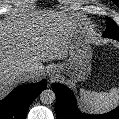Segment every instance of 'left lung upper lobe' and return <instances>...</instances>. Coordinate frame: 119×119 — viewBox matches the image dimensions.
<instances>
[{"label": "left lung upper lobe", "mask_w": 119, "mask_h": 119, "mask_svg": "<svg viewBox=\"0 0 119 119\" xmlns=\"http://www.w3.org/2000/svg\"><path fill=\"white\" fill-rule=\"evenodd\" d=\"M107 20V29L103 35H111V36H119V27L117 24L110 18H106Z\"/></svg>", "instance_id": "1"}]
</instances>
